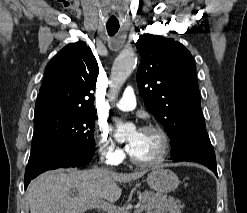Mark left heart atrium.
Returning <instances> with one entry per match:
<instances>
[{
  "mask_svg": "<svg viewBox=\"0 0 247 213\" xmlns=\"http://www.w3.org/2000/svg\"><path fill=\"white\" fill-rule=\"evenodd\" d=\"M133 146H134V143L132 142L127 145V149L129 150V152L133 149Z\"/></svg>",
  "mask_w": 247,
  "mask_h": 213,
  "instance_id": "left-heart-atrium-1",
  "label": "left heart atrium"
}]
</instances>
